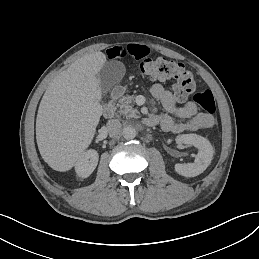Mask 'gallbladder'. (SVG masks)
Masks as SVG:
<instances>
[{"label":"gallbladder","instance_id":"obj_1","mask_svg":"<svg viewBox=\"0 0 259 259\" xmlns=\"http://www.w3.org/2000/svg\"><path fill=\"white\" fill-rule=\"evenodd\" d=\"M125 75V68L122 62L117 60L108 61L97 73L95 79L98 83V89L101 93V99L105 104L108 94L112 88L118 84Z\"/></svg>","mask_w":259,"mask_h":259}]
</instances>
